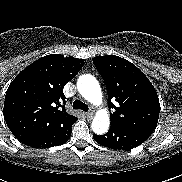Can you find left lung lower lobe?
<instances>
[{
	"label": "left lung lower lobe",
	"instance_id": "obj_1",
	"mask_svg": "<svg viewBox=\"0 0 182 182\" xmlns=\"http://www.w3.org/2000/svg\"><path fill=\"white\" fill-rule=\"evenodd\" d=\"M151 132L125 126L111 125L104 135H93L94 140L105 147L115 150H131L149 138Z\"/></svg>",
	"mask_w": 182,
	"mask_h": 182
}]
</instances>
